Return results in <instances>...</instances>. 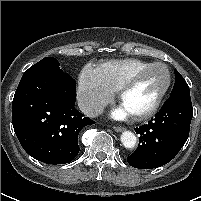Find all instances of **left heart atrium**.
<instances>
[{
	"mask_svg": "<svg viewBox=\"0 0 201 201\" xmlns=\"http://www.w3.org/2000/svg\"><path fill=\"white\" fill-rule=\"evenodd\" d=\"M130 115L131 114L123 106L112 112V117L115 119H125Z\"/></svg>",
	"mask_w": 201,
	"mask_h": 201,
	"instance_id": "39dd6f15",
	"label": "left heart atrium"
}]
</instances>
